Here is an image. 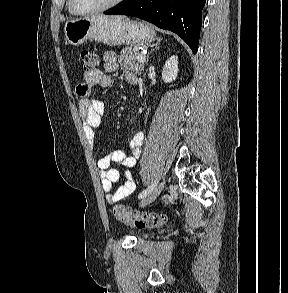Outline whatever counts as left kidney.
<instances>
[{"instance_id":"obj_1","label":"left kidney","mask_w":288,"mask_h":293,"mask_svg":"<svg viewBox=\"0 0 288 293\" xmlns=\"http://www.w3.org/2000/svg\"><path fill=\"white\" fill-rule=\"evenodd\" d=\"M178 57L171 56L165 63L162 71V79L166 83H170L177 78L178 74Z\"/></svg>"}]
</instances>
